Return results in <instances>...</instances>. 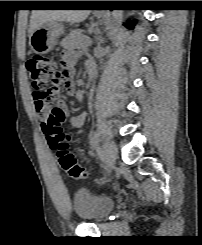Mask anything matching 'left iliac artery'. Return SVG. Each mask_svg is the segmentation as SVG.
<instances>
[{"label":"left iliac artery","mask_w":202,"mask_h":245,"mask_svg":"<svg viewBox=\"0 0 202 245\" xmlns=\"http://www.w3.org/2000/svg\"><path fill=\"white\" fill-rule=\"evenodd\" d=\"M99 137H100L99 132L98 131H95L94 132V135L92 137L91 143H90L91 150L94 149L97 146V144L99 142ZM89 153L92 154V151H89Z\"/></svg>","instance_id":"44dca946"}]
</instances>
